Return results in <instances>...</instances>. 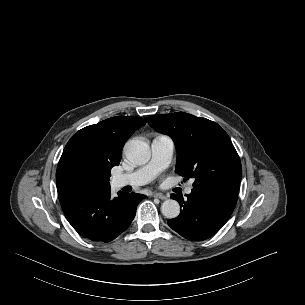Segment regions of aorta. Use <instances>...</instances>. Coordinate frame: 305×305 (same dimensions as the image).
I'll return each instance as SVG.
<instances>
[{"instance_id": "aorta-1", "label": "aorta", "mask_w": 305, "mask_h": 305, "mask_svg": "<svg viewBox=\"0 0 305 305\" xmlns=\"http://www.w3.org/2000/svg\"><path fill=\"white\" fill-rule=\"evenodd\" d=\"M126 158L133 164L142 165L149 161L151 151L149 145L139 139H131L127 141L124 147ZM162 214L168 218H176L180 213V206L176 200H165L161 205Z\"/></svg>"}]
</instances>
